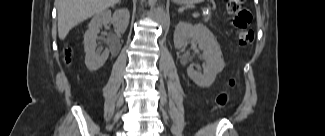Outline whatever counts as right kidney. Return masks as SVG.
<instances>
[{
    "mask_svg": "<svg viewBox=\"0 0 325 136\" xmlns=\"http://www.w3.org/2000/svg\"><path fill=\"white\" fill-rule=\"evenodd\" d=\"M130 14L127 9H118L113 15L110 10H105L97 13L89 23V28L84 34V51L85 65L90 71H97L101 68L109 57V50L102 52L101 49H96V41L102 26L112 21L115 32L117 34L124 33L129 24Z\"/></svg>",
    "mask_w": 325,
    "mask_h": 136,
    "instance_id": "ca27d5eb",
    "label": "right kidney"
}]
</instances>
